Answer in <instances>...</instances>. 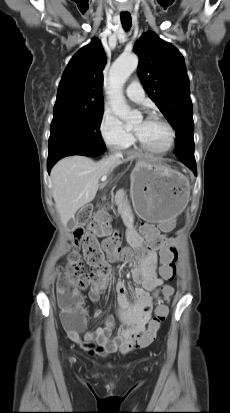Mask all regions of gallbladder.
<instances>
[{
	"instance_id": "gallbladder-1",
	"label": "gallbladder",
	"mask_w": 230,
	"mask_h": 413,
	"mask_svg": "<svg viewBox=\"0 0 230 413\" xmlns=\"http://www.w3.org/2000/svg\"><path fill=\"white\" fill-rule=\"evenodd\" d=\"M75 227H76V223L74 221L70 220L68 222V228L73 230V229H75Z\"/></svg>"
}]
</instances>
